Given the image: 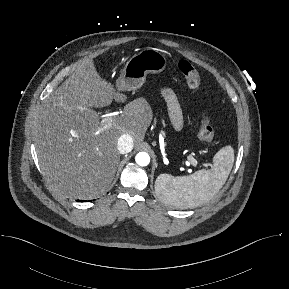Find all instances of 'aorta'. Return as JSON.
Listing matches in <instances>:
<instances>
[{
	"mask_svg": "<svg viewBox=\"0 0 289 289\" xmlns=\"http://www.w3.org/2000/svg\"><path fill=\"white\" fill-rule=\"evenodd\" d=\"M135 161L139 166H147L150 163V156L146 152H139L135 157Z\"/></svg>",
	"mask_w": 289,
	"mask_h": 289,
	"instance_id": "obj_1",
	"label": "aorta"
}]
</instances>
